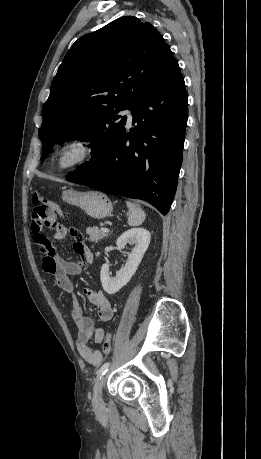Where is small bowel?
<instances>
[{"label": "small bowel", "instance_id": "obj_1", "mask_svg": "<svg viewBox=\"0 0 261 459\" xmlns=\"http://www.w3.org/2000/svg\"><path fill=\"white\" fill-rule=\"evenodd\" d=\"M54 240L60 241L68 235L73 240L74 252L78 255V261L63 259L57 252L49 237L36 238L34 241L39 245L43 257V270L54 276L57 286L66 294L74 297L70 317L77 326L76 347L80 356L89 364L98 366L102 362V354L98 349H93L89 343H101L105 332L96 327L94 320L85 314L81 301L76 297L75 287L70 276L79 275L83 268L93 261V253L85 244L82 234L74 229L56 223V220L48 226ZM83 294L88 301L95 306L100 321L108 322L113 318L114 311L110 301L101 290L84 288Z\"/></svg>", "mask_w": 261, "mask_h": 459}]
</instances>
